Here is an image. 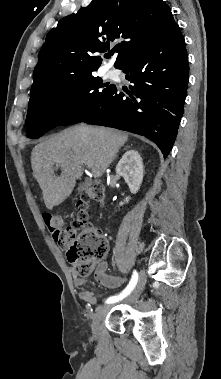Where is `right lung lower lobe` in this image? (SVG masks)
<instances>
[{
    "instance_id": "1",
    "label": "right lung lower lobe",
    "mask_w": 221,
    "mask_h": 379,
    "mask_svg": "<svg viewBox=\"0 0 221 379\" xmlns=\"http://www.w3.org/2000/svg\"><path fill=\"white\" fill-rule=\"evenodd\" d=\"M116 68L126 73L129 90L115 85L87 115L72 124L113 127L151 139L166 158L184 112L189 65L178 25L125 58Z\"/></svg>"
}]
</instances>
